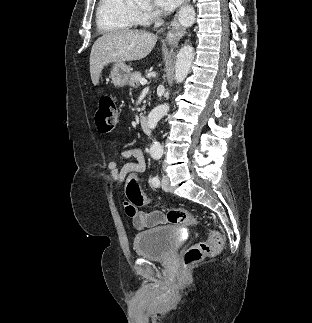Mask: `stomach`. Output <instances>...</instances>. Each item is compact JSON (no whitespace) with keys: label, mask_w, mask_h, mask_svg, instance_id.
<instances>
[{"label":"stomach","mask_w":312,"mask_h":323,"mask_svg":"<svg viewBox=\"0 0 312 323\" xmlns=\"http://www.w3.org/2000/svg\"><path fill=\"white\" fill-rule=\"evenodd\" d=\"M131 70L126 66V64H114L110 78L114 84V86H119V88H123L126 86L129 78H130Z\"/></svg>","instance_id":"obj_1"}]
</instances>
